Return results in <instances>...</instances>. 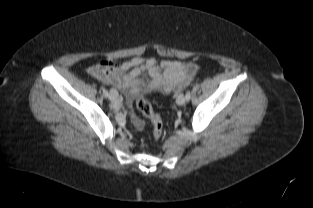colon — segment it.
Here are the masks:
<instances>
[{
	"label": "colon",
	"instance_id": "obj_1",
	"mask_svg": "<svg viewBox=\"0 0 313 208\" xmlns=\"http://www.w3.org/2000/svg\"><path fill=\"white\" fill-rule=\"evenodd\" d=\"M136 107L139 113L150 120L153 125V137L157 141L161 138L163 133V122L161 117L153 110L150 101L145 97L138 98Z\"/></svg>",
	"mask_w": 313,
	"mask_h": 208
}]
</instances>
